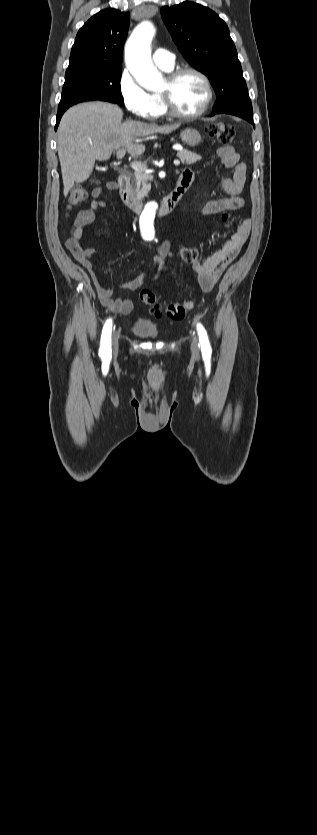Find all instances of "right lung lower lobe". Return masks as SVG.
Wrapping results in <instances>:
<instances>
[{"instance_id": "obj_1", "label": "right lung lower lobe", "mask_w": 317, "mask_h": 835, "mask_svg": "<svg viewBox=\"0 0 317 835\" xmlns=\"http://www.w3.org/2000/svg\"><path fill=\"white\" fill-rule=\"evenodd\" d=\"M102 101H108V102H112V103H117V102H115V101H113V100H110V99H102ZM117 104H118V103H117ZM67 109H68V108L58 110V113H57V118H56V125H55V129H57V127H58V125H59V121H60V119H61V116L63 115V113H64Z\"/></svg>"}]
</instances>
